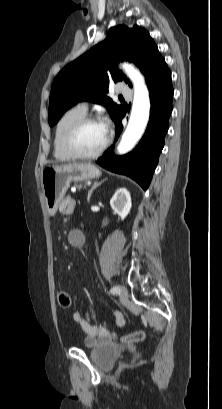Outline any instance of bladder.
I'll list each match as a JSON object with an SVG mask.
<instances>
[{"label":"bladder","instance_id":"obj_1","mask_svg":"<svg viewBox=\"0 0 222 409\" xmlns=\"http://www.w3.org/2000/svg\"><path fill=\"white\" fill-rule=\"evenodd\" d=\"M124 349L115 343L107 342L104 344H98L91 348L90 356L95 365L104 371L112 368L114 362L119 358Z\"/></svg>","mask_w":222,"mask_h":409}]
</instances>
